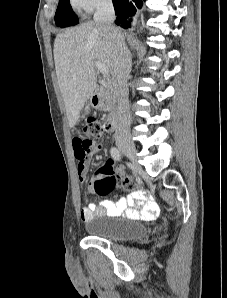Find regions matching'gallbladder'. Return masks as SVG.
<instances>
[{
  "mask_svg": "<svg viewBox=\"0 0 227 298\" xmlns=\"http://www.w3.org/2000/svg\"><path fill=\"white\" fill-rule=\"evenodd\" d=\"M89 112H90V105L88 104L84 109V115L89 114Z\"/></svg>",
  "mask_w": 227,
  "mask_h": 298,
  "instance_id": "gallbladder-1",
  "label": "gallbladder"
}]
</instances>
